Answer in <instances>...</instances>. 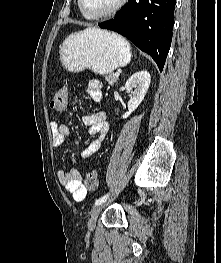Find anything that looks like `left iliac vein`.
Returning a JSON list of instances; mask_svg holds the SVG:
<instances>
[{
  "mask_svg": "<svg viewBox=\"0 0 221 263\" xmlns=\"http://www.w3.org/2000/svg\"><path fill=\"white\" fill-rule=\"evenodd\" d=\"M103 208H104V203H101V204L94 206L91 209L89 213V220H88L89 230H93L95 228L97 217Z\"/></svg>",
  "mask_w": 221,
  "mask_h": 263,
  "instance_id": "4c4485c4",
  "label": "left iliac vein"
}]
</instances>
